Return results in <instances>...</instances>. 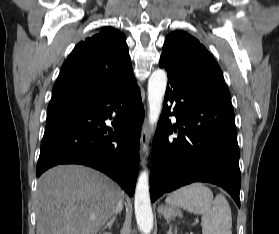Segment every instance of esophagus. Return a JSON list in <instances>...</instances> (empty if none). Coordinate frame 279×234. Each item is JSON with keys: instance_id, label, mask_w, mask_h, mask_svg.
I'll use <instances>...</instances> for the list:
<instances>
[{"instance_id": "obj_1", "label": "esophagus", "mask_w": 279, "mask_h": 234, "mask_svg": "<svg viewBox=\"0 0 279 234\" xmlns=\"http://www.w3.org/2000/svg\"><path fill=\"white\" fill-rule=\"evenodd\" d=\"M149 151V124L147 118H145L140 137V156L141 163L144 165L147 162Z\"/></svg>"}]
</instances>
